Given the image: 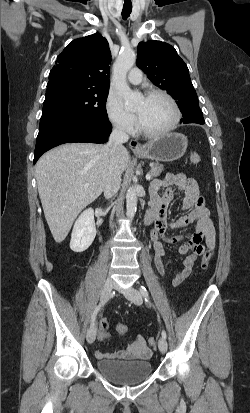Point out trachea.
<instances>
[{"label":"trachea","mask_w":250,"mask_h":413,"mask_svg":"<svg viewBox=\"0 0 250 413\" xmlns=\"http://www.w3.org/2000/svg\"><path fill=\"white\" fill-rule=\"evenodd\" d=\"M132 11V4L131 3H124L123 10H122V17L123 19H127Z\"/></svg>","instance_id":"obj_1"}]
</instances>
